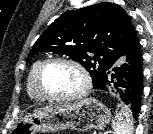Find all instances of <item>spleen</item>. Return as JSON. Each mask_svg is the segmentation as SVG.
Wrapping results in <instances>:
<instances>
[{"instance_id": "3e777b00", "label": "spleen", "mask_w": 153, "mask_h": 134, "mask_svg": "<svg viewBox=\"0 0 153 134\" xmlns=\"http://www.w3.org/2000/svg\"><path fill=\"white\" fill-rule=\"evenodd\" d=\"M112 128L114 134H133V121L127 106L123 104L118 106Z\"/></svg>"}]
</instances>
